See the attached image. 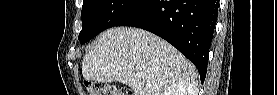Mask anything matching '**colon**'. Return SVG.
Returning a JSON list of instances; mask_svg holds the SVG:
<instances>
[{"instance_id":"obj_1","label":"colon","mask_w":277,"mask_h":95,"mask_svg":"<svg viewBox=\"0 0 277 95\" xmlns=\"http://www.w3.org/2000/svg\"><path fill=\"white\" fill-rule=\"evenodd\" d=\"M86 87L90 95H132L129 87L116 88L103 82L87 83Z\"/></svg>"}]
</instances>
